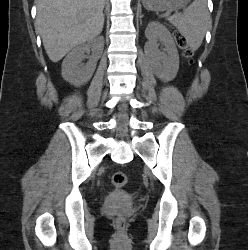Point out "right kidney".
I'll use <instances>...</instances> for the list:
<instances>
[{
  "mask_svg": "<svg viewBox=\"0 0 248 250\" xmlns=\"http://www.w3.org/2000/svg\"><path fill=\"white\" fill-rule=\"evenodd\" d=\"M104 49V38L102 36L80 44L75 47L62 62V77L65 81L78 87L87 83L92 77L97 61ZM92 51V55L86 65H81L84 53Z\"/></svg>",
  "mask_w": 248,
  "mask_h": 250,
  "instance_id": "ca27d5eb",
  "label": "right kidney"
}]
</instances>
